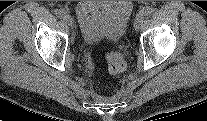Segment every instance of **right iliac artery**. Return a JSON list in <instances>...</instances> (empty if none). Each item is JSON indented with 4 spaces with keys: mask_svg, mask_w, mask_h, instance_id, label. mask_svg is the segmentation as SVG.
Here are the masks:
<instances>
[{
    "mask_svg": "<svg viewBox=\"0 0 207 121\" xmlns=\"http://www.w3.org/2000/svg\"><path fill=\"white\" fill-rule=\"evenodd\" d=\"M55 13L59 18H63L66 15V12L63 9H57Z\"/></svg>",
    "mask_w": 207,
    "mask_h": 121,
    "instance_id": "obj_1",
    "label": "right iliac artery"
}]
</instances>
